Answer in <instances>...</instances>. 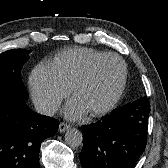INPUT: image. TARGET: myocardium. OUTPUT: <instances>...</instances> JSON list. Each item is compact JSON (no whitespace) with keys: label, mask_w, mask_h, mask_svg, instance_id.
<instances>
[{"label":"myocardium","mask_w":168,"mask_h":168,"mask_svg":"<svg viewBox=\"0 0 168 168\" xmlns=\"http://www.w3.org/2000/svg\"><path fill=\"white\" fill-rule=\"evenodd\" d=\"M111 59L116 60L119 63V65L121 67V78L119 80V83H118L114 93L112 94L111 98L109 99V101L106 104H104L102 107H99L97 109L90 111V114L94 117L105 115V114L109 113L119 102V100L124 92L126 82H127L128 72H127V66H126L125 62L118 55L104 54L101 57L95 59L93 62H91V64L87 67V69L84 71V73L77 79V81L75 82V84L72 87V93L74 96H76V94L79 92V90L93 78L96 69L103 62H105L106 60H111Z\"/></svg>","instance_id":"myocardium-1"}]
</instances>
